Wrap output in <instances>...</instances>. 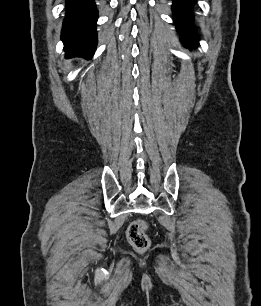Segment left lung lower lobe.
Here are the masks:
<instances>
[{"mask_svg":"<svg viewBox=\"0 0 261 306\" xmlns=\"http://www.w3.org/2000/svg\"><path fill=\"white\" fill-rule=\"evenodd\" d=\"M196 0H173V13L177 30L183 36V43L188 46H197V36L192 29V6Z\"/></svg>","mask_w":261,"mask_h":306,"instance_id":"1","label":"left lung lower lobe"}]
</instances>
